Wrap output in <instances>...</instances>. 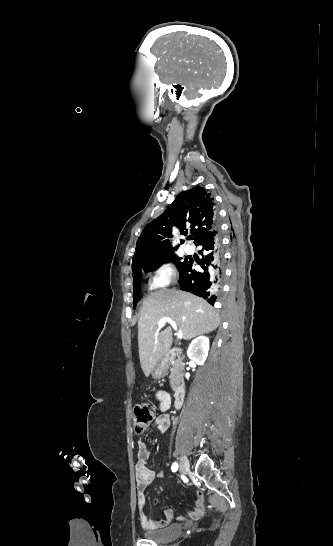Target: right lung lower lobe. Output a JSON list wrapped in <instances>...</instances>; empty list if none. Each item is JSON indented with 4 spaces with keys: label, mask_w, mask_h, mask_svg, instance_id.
<instances>
[{
    "label": "right lung lower lobe",
    "mask_w": 333,
    "mask_h": 546,
    "mask_svg": "<svg viewBox=\"0 0 333 546\" xmlns=\"http://www.w3.org/2000/svg\"><path fill=\"white\" fill-rule=\"evenodd\" d=\"M195 245L202 246L204 251L201 252L203 255L201 261H197L202 270L196 271L195 261L190 258L179 269L180 279L178 282L182 290L200 296L214 305L216 295L220 290L223 264L218 228L215 227L206 233Z\"/></svg>",
    "instance_id": "right-lung-lower-lobe-1"
}]
</instances>
